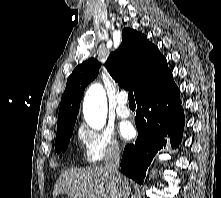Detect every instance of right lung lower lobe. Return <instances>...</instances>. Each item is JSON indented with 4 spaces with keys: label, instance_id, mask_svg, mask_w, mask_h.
Segmentation results:
<instances>
[{
    "label": "right lung lower lobe",
    "instance_id": "obj_1",
    "mask_svg": "<svg viewBox=\"0 0 221 198\" xmlns=\"http://www.w3.org/2000/svg\"><path fill=\"white\" fill-rule=\"evenodd\" d=\"M180 91L168 70L137 98L136 126L138 138L127 145L121 160V171L142 184L146 170L157 151L166 145L164 136H170L172 148L182 139L184 110Z\"/></svg>",
    "mask_w": 221,
    "mask_h": 198
}]
</instances>
